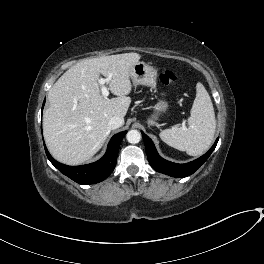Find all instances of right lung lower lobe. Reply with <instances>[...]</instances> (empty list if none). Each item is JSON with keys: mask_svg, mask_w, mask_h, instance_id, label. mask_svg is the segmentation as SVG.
I'll list each match as a JSON object with an SVG mask.
<instances>
[{"mask_svg": "<svg viewBox=\"0 0 264 264\" xmlns=\"http://www.w3.org/2000/svg\"><path fill=\"white\" fill-rule=\"evenodd\" d=\"M45 103V101H44ZM43 103V106H44ZM127 131L120 132L112 137L108 144L105 155L97 162L81 165L67 166L54 160L49 154L45 144V152L50 162L64 175L68 176L75 182L88 185L103 181L108 177L115 168L120 143Z\"/></svg>", "mask_w": 264, "mask_h": 264, "instance_id": "obj_1", "label": "right lung lower lobe"}]
</instances>
